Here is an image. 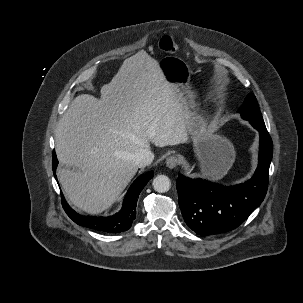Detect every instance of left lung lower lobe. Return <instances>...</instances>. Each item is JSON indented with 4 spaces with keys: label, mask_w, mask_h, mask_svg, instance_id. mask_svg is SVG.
<instances>
[{
    "label": "left lung lower lobe",
    "mask_w": 303,
    "mask_h": 303,
    "mask_svg": "<svg viewBox=\"0 0 303 303\" xmlns=\"http://www.w3.org/2000/svg\"><path fill=\"white\" fill-rule=\"evenodd\" d=\"M250 123L260 135L258 167L251 179L222 186L180 174L176 181L184 221L198 235L209 236L237 228L264 200L273 145L265 126Z\"/></svg>",
    "instance_id": "left-lung-lower-lobe-1"
}]
</instances>
